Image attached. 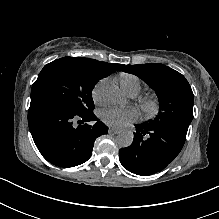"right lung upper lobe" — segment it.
<instances>
[{
    "label": "right lung upper lobe",
    "mask_w": 219,
    "mask_h": 219,
    "mask_svg": "<svg viewBox=\"0 0 219 219\" xmlns=\"http://www.w3.org/2000/svg\"><path fill=\"white\" fill-rule=\"evenodd\" d=\"M82 59L87 60V61L92 62V63H96V64L111 65L112 67L117 69L116 71L121 70L124 67L123 64H116V63L109 64V63H106V62H100V61H97V60H94V59H89V58H82Z\"/></svg>",
    "instance_id": "obj_1"
}]
</instances>
